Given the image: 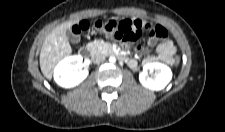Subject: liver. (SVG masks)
<instances>
[{
    "label": "liver",
    "mask_w": 225,
    "mask_h": 132,
    "mask_svg": "<svg viewBox=\"0 0 225 132\" xmlns=\"http://www.w3.org/2000/svg\"><path fill=\"white\" fill-rule=\"evenodd\" d=\"M76 23L67 22L58 27L56 34L53 37H49L47 43L43 47L41 53V68L47 78H51V68L57 59L62 58L64 55L71 53V47L65 36L66 29Z\"/></svg>",
    "instance_id": "6515ba94"
}]
</instances>
